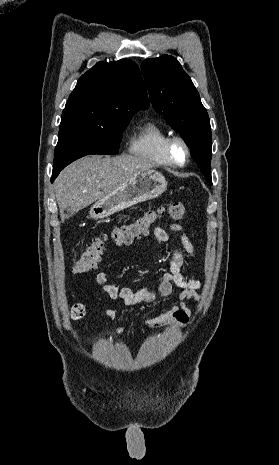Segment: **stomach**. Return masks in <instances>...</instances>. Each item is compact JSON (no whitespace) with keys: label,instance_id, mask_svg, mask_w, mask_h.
I'll return each instance as SVG.
<instances>
[{"label":"stomach","instance_id":"obj_1","mask_svg":"<svg viewBox=\"0 0 279 465\" xmlns=\"http://www.w3.org/2000/svg\"><path fill=\"white\" fill-rule=\"evenodd\" d=\"M167 188L165 177L154 170L140 172L118 189L99 199L90 209L94 219L108 217L135 204L160 196Z\"/></svg>","mask_w":279,"mask_h":465}]
</instances>
